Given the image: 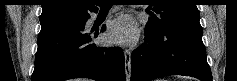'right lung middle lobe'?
Listing matches in <instances>:
<instances>
[{"mask_svg":"<svg viewBox=\"0 0 237 81\" xmlns=\"http://www.w3.org/2000/svg\"><path fill=\"white\" fill-rule=\"evenodd\" d=\"M62 20H82V17L67 18V19H62ZM62 20H57V21H62Z\"/></svg>","mask_w":237,"mask_h":81,"instance_id":"dd1d6c3e","label":"right lung middle lobe"}]
</instances>
